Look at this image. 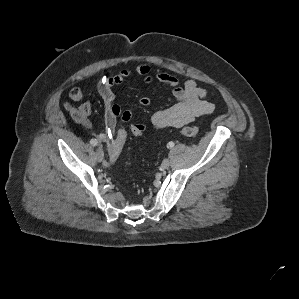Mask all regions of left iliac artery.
Here are the masks:
<instances>
[{
  "label": "left iliac artery",
  "mask_w": 299,
  "mask_h": 299,
  "mask_svg": "<svg viewBox=\"0 0 299 299\" xmlns=\"http://www.w3.org/2000/svg\"><path fill=\"white\" fill-rule=\"evenodd\" d=\"M167 147L170 148V149L173 148V147H174V143H173V142H169V143L167 144Z\"/></svg>",
  "instance_id": "44dca946"
}]
</instances>
